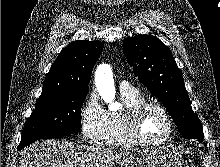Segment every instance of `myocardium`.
<instances>
[{"mask_svg": "<svg viewBox=\"0 0 220 167\" xmlns=\"http://www.w3.org/2000/svg\"><path fill=\"white\" fill-rule=\"evenodd\" d=\"M150 107L156 108L163 113L168 121L169 131L167 135L158 140L145 139L140 133V120L143 113ZM125 127L128 137L135 143L144 146H160L167 143L174 135L175 123L164 105L155 101L140 102L125 113Z\"/></svg>", "mask_w": 220, "mask_h": 167, "instance_id": "obj_1", "label": "myocardium"}]
</instances>
